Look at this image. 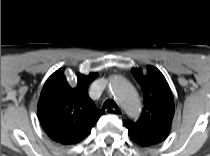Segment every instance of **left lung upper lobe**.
Returning a JSON list of instances; mask_svg holds the SVG:
<instances>
[{
  "mask_svg": "<svg viewBox=\"0 0 210 156\" xmlns=\"http://www.w3.org/2000/svg\"><path fill=\"white\" fill-rule=\"evenodd\" d=\"M147 70L143 75L142 70L132 68L144 93V108L136 122H124L132 140L143 147L164 141L174 116V100L165 77L155 67L148 66Z\"/></svg>",
  "mask_w": 210,
  "mask_h": 156,
  "instance_id": "left-lung-upper-lobe-1",
  "label": "left lung upper lobe"
}]
</instances>
